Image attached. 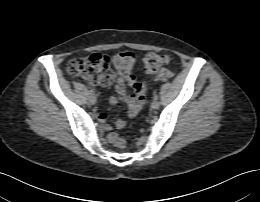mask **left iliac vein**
<instances>
[{
	"label": "left iliac vein",
	"instance_id": "obj_1",
	"mask_svg": "<svg viewBox=\"0 0 260 202\" xmlns=\"http://www.w3.org/2000/svg\"><path fill=\"white\" fill-rule=\"evenodd\" d=\"M159 106H160L159 101H157V100H153V101H152V103H151V108H152V109L156 110V109L159 108Z\"/></svg>",
	"mask_w": 260,
	"mask_h": 202
}]
</instances>
